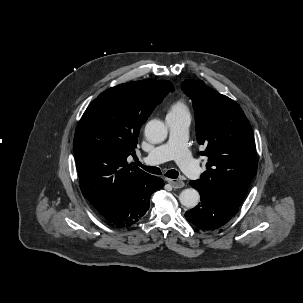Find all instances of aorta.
I'll return each mask as SVG.
<instances>
[{"label": "aorta", "instance_id": "1", "mask_svg": "<svg viewBox=\"0 0 303 303\" xmlns=\"http://www.w3.org/2000/svg\"><path fill=\"white\" fill-rule=\"evenodd\" d=\"M166 125L157 119L150 120L145 126V136L151 143H161L167 137ZM200 200L199 192L193 188L184 189L179 195L180 203L187 208H194Z\"/></svg>", "mask_w": 303, "mask_h": 303}]
</instances>
